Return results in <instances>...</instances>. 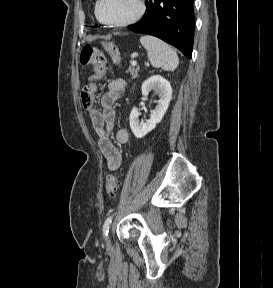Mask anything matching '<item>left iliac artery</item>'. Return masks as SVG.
Returning a JSON list of instances; mask_svg holds the SVG:
<instances>
[{"mask_svg":"<svg viewBox=\"0 0 273 288\" xmlns=\"http://www.w3.org/2000/svg\"><path fill=\"white\" fill-rule=\"evenodd\" d=\"M112 219H113V215L108 216L103 224V235L105 238L108 236L109 227L112 222Z\"/></svg>","mask_w":273,"mask_h":288,"instance_id":"1","label":"left iliac artery"}]
</instances>
